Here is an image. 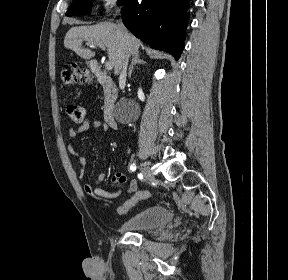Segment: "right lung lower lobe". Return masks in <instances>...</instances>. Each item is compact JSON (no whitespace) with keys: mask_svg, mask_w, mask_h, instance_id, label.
Here are the masks:
<instances>
[{"mask_svg":"<svg viewBox=\"0 0 288 280\" xmlns=\"http://www.w3.org/2000/svg\"><path fill=\"white\" fill-rule=\"evenodd\" d=\"M189 1L124 0L122 21L151 48L170 53L178 60L184 49Z\"/></svg>","mask_w":288,"mask_h":280,"instance_id":"98d812e1","label":"right lung lower lobe"}]
</instances>
